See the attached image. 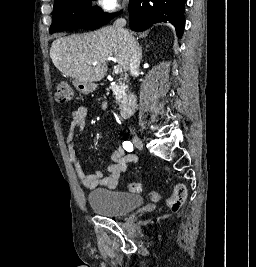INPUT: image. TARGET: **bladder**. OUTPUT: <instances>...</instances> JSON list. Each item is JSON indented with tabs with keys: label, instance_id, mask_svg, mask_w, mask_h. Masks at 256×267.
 <instances>
[{
	"label": "bladder",
	"instance_id": "1",
	"mask_svg": "<svg viewBox=\"0 0 256 267\" xmlns=\"http://www.w3.org/2000/svg\"><path fill=\"white\" fill-rule=\"evenodd\" d=\"M88 203L100 215L121 216L141 206L143 198L122 191L99 189L88 194Z\"/></svg>",
	"mask_w": 256,
	"mask_h": 267
}]
</instances>
